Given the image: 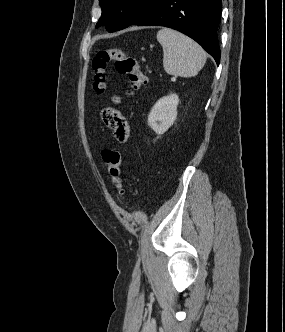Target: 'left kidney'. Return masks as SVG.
<instances>
[{
	"instance_id": "left-kidney-1",
	"label": "left kidney",
	"mask_w": 285,
	"mask_h": 332,
	"mask_svg": "<svg viewBox=\"0 0 285 332\" xmlns=\"http://www.w3.org/2000/svg\"><path fill=\"white\" fill-rule=\"evenodd\" d=\"M178 103V95L170 94L159 99L152 107L148 125L156 134H164L173 125L177 117Z\"/></svg>"
}]
</instances>
